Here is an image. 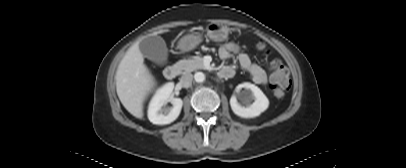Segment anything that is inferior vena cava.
Masks as SVG:
<instances>
[{"label": "inferior vena cava", "instance_id": "obj_1", "mask_svg": "<svg viewBox=\"0 0 406 168\" xmlns=\"http://www.w3.org/2000/svg\"><path fill=\"white\" fill-rule=\"evenodd\" d=\"M192 80L193 75L191 73H186L181 77L180 83L182 84L183 87L188 88L191 86Z\"/></svg>", "mask_w": 406, "mask_h": 168}]
</instances>
